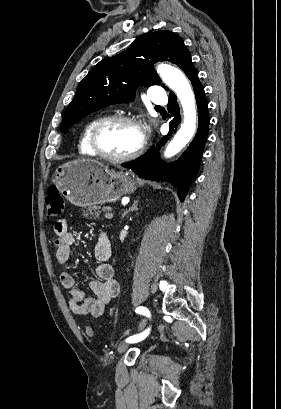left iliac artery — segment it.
Segmentation results:
<instances>
[{
	"label": "left iliac artery",
	"instance_id": "left-iliac-artery-1",
	"mask_svg": "<svg viewBox=\"0 0 281 409\" xmlns=\"http://www.w3.org/2000/svg\"><path fill=\"white\" fill-rule=\"evenodd\" d=\"M136 312L139 313V314L145 315L147 317H150V312L145 307H138L136 309ZM148 334H149V329H147L143 333H140V334H137V335H134V336H130L129 338L126 339V341L129 342V343H135V342L141 341L144 338H146Z\"/></svg>",
	"mask_w": 281,
	"mask_h": 409
}]
</instances>
